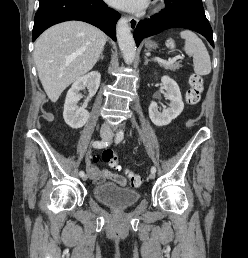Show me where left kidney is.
Here are the masks:
<instances>
[{
    "label": "left kidney",
    "mask_w": 248,
    "mask_h": 258,
    "mask_svg": "<svg viewBox=\"0 0 248 258\" xmlns=\"http://www.w3.org/2000/svg\"><path fill=\"white\" fill-rule=\"evenodd\" d=\"M161 81L166 91V98L170 100V105L167 109L159 112L157 104L154 101L151 102L149 106V116L152 123L158 127L170 124L172 120L181 114L184 108L178 84L169 76H163Z\"/></svg>",
    "instance_id": "left-kidney-1"
}]
</instances>
